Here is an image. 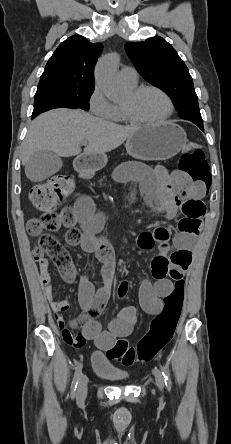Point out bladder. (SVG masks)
I'll use <instances>...</instances> for the list:
<instances>
[{
    "mask_svg": "<svg viewBox=\"0 0 231 444\" xmlns=\"http://www.w3.org/2000/svg\"><path fill=\"white\" fill-rule=\"evenodd\" d=\"M92 364L94 373L99 377L111 381H123L129 377L127 372L118 369L112 364L111 359L101 352L93 354Z\"/></svg>",
    "mask_w": 231,
    "mask_h": 444,
    "instance_id": "obj_1",
    "label": "bladder"
}]
</instances>
